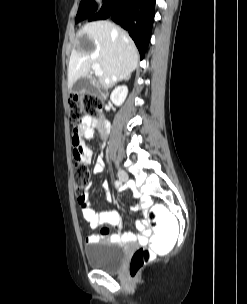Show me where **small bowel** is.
<instances>
[{
	"label": "small bowel",
	"mask_w": 247,
	"mask_h": 304,
	"mask_svg": "<svg viewBox=\"0 0 247 304\" xmlns=\"http://www.w3.org/2000/svg\"><path fill=\"white\" fill-rule=\"evenodd\" d=\"M98 124V125H97ZM104 124V125H103ZM98 126H103L106 129L108 128L107 123H102L96 120L91 116H86L82 119L79 124L77 130L71 131V139H72V156L73 162H80V165H89L92 160V151L91 149L83 142L85 139H95L96 132L95 129ZM104 162L101 158L96 160V163L93 168V172L95 175L100 174L103 171ZM103 189L106 191V201L109 202L111 200V194L109 192V186L107 182L103 183ZM89 188L81 201H79L80 209L84 219L89 223L92 229L98 228L100 225L107 224H115L118 221V215L116 213L101 211L97 212L90 204V196H89ZM150 204V199L147 197H143L141 199V208H145ZM138 228L140 229L139 235H135L132 232L124 233L123 235L109 234L107 229L103 230L100 235L91 234L87 237V243H93L100 239V237L109 236L113 241H139L141 243H146L148 241V237L151 233V230L148 225V221L143 219L137 223Z\"/></svg>",
	"instance_id": "c3829d8e"
}]
</instances>
